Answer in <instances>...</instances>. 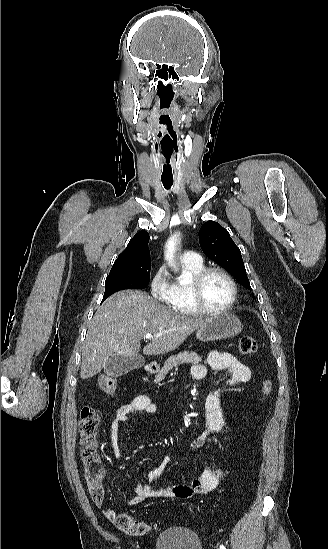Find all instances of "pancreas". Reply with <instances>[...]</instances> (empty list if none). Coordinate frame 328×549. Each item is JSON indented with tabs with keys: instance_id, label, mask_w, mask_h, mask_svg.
Masks as SVG:
<instances>
[{
	"instance_id": "pancreas-1",
	"label": "pancreas",
	"mask_w": 328,
	"mask_h": 549,
	"mask_svg": "<svg viewBox=\"0 0 328 549\" xmlns=\"http://www.w3.org/2000/svg\"><path fill=\"white\" fill-rule=\"evenodd\" d=\"M200 361H202L200 355H197V353H188V351H183V353H178V355H172V357H169V359L165 361L161 371L155 375V381H157V383L163 381L165 375H167L173 367H177V365H182V363H193V365H196V363H200Z\"/></svg>"
}]
</instances>
